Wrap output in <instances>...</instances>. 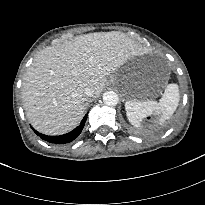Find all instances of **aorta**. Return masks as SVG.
Segmentation results:
<instances>
[{
    "label": "aorta",
    "instance_id": "aorta-1",
    "mask_svg": "<svg viewBox=\"0 0 205 205\" xmlns=\"http://www.w3.org/2000/svg\"><path fill=\"white\" fill-rule=\"evenodd\" d=\"M103 102L108 106H115L119 102V97L114 91H107L103 94Z\"/></svg>",
    "mask_w": 205,
    "mask_h": 205
}]
</instances>
